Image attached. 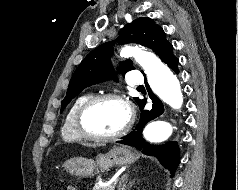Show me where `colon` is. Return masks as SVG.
Masks as SVG:
<instances>
[{
	"label": "colon",
	"mask_w": 238,
	"mask_h": 190,
	"mask_svg": "<svg viewBox=\"0 0 238 190\" xmlns=\"http://www.w3.org/2000/svg\"><path fill=\"white\" fill-rule=\"evenodd\" d=\"M65 190H76V189L74 187H72V186H69Z\"/></svg>",
	"instance_id": "obj_1"
}]
</instances>
